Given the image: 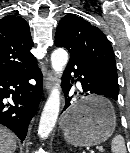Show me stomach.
<instances>
[{
    "instance_id": "0dacf381",
    "label": "stomach",
    "mask_w": 130,
    "mask_h": 153,
    "mask_svg": "<svg viewBox=\"0 0 130 153\" xmlns=\"http://www.w3.org/2000/svg\"><path fill=\"white\" fill-rule=\"evenodd\" d=\"M60 126L67 142L75 146H93L112 135L116 127V115L107 99L89 96L63 115Z\"/></svg>"
}]
</instances>
